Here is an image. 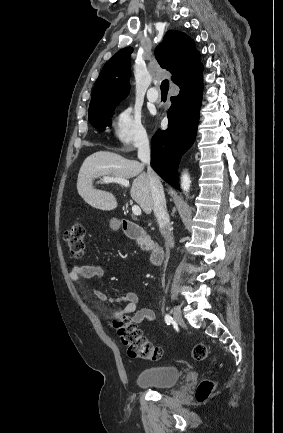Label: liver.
Masks as SVG:
<instances>
[{
  "label": "liver",
  "mask_w": 283,
  "mask_h": 433,
  "mask_svg": "<svg viewBox=\"0 0 283 433\" xmlns=\"http://www.w3.org/2000/svg\"><path fill=\"white\" fill-rule=\"evenodd\" d=\"M97 176H118V178H133L130 194L143 208L146 214L153 210L154 200L150 188L147 172H144V164L138 160H128L116 152L99 150L85 158L77 178V190L85 202L101 208V210H113L118 202L107 190L94 188L93 180Z\"/></svg>",
  "instance_id": "obj_1"
}]
</instances>
